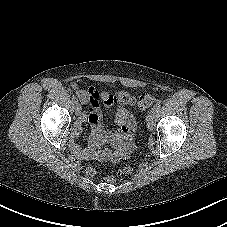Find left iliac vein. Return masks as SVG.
I'll list each match as a JSON object with an SVG mask.
<instances>
[{"instance_id": "left-iliac-vein-1", "label": "left iliac vein", "mask_w": 227, "mask_h": 227, "mask_svg": "<svg viewBox=\"0 0 227 227\" xmlns=\"http://www.w3.org/2000/svg\"><path fill=\"white\" fill-rule=\"evenodd\" d=\"M155 117L156 112L152 109L146 117L147 126L150 130H153L155 127Z\"/></svg>"}]
</instances>
